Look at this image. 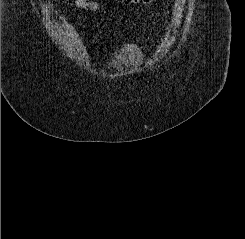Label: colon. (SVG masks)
<instances>
[{
    "label": "colon",
    "mask_w": 245,
    "mask_h": 239,
    "mask_svg": "<svg viewBox=\"0 0 245 239\" xmlns=\"http://www.w3.org/2000/svg\"><path fill=\"white\" fill-rule=\"evenodd\" d=\"M70 2H73L74 0H69ZM153 0H121L126 5H131V4H137V3H150Z\"/></svg>",
    "instance_id": "colon-1"
}]
</instances>
